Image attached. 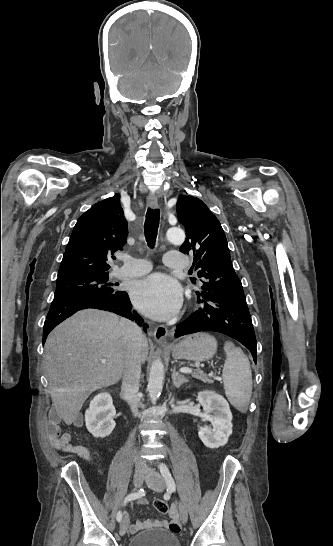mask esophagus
<instances>
[{"mask_svg":"<svg viewBox=\"0 0 333 546\" xmlns=\"http://www.w3.org/2000/svg\"><path fill=\"white\" fill-rule=\"evenodd\" d=\"M147 205L152 209H156L158 207V198L156 194H150L148 196ZM167 335H168V329L164 325H160L156 327L154 330V339L158 343L165 344Z\"/></svg>","mask_w":333,"mask_h":546,"instance_id":"obj_1","label":"esophagus"}]
</instances>
